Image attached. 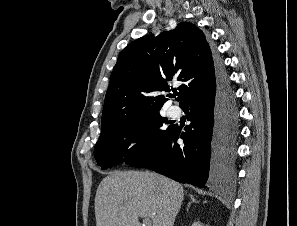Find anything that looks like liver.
I'll return each instance as SVG.
<instances>
[{
	"label": "liver",
	"instance_id": "obj_1",
	"mask_svg": "<svg viewBox=\"0 0 297 226\" xmlns=\"http://www.w3.org/2000/svg\"><path fill=\"white\" fill-rule=\"evenodd\" d=\"M184 199L181 184L149 171H114L95 196L96 226H173Z\"/></svg>",
	"mask_w": 297,
	"mask_h": 226
}]
</instances>
